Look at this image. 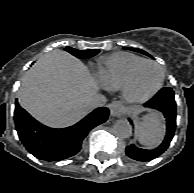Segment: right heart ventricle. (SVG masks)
I'll use <instances>...</instances> for the list:
<instances>
[{
    "label": "right heart ventricle",
    "instance_id": "e07e8e85",
    "mask_svg": "<svg viewBox=\"0 0 194 193\" xmlns=\"http://www.w3.org/2000/svg\"><path fill=\"white\" fill-rule=\"evenodd\" d=\"M142 60L132 53L116 52L99 61L97 74L108 88L119 89L130 69Z\"/></svg>",
    "mask_w": 194,
    "mask_h": 193
}]
</instances>
